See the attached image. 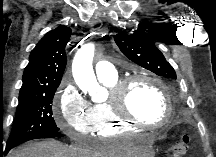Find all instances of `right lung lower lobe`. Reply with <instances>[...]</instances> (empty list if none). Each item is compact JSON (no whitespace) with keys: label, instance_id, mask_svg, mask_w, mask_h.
Masks as SVG:
<instances>
[{"label":"right lung lower lobe","instance_id":"right-lung-lower-lobe-1","mask_svg":"<svg viewBox=\"0 0 216 157\" xmlns=\"http://www.w3.org/2000/svg\"><path fill=\"white\" fill-rule=\"evenodd\" d=\"M58 136H62V134H60V133H54V134L44 135V136L39 137V138H53V137H58ZM12 148L13 147L6 146L5 154H7Z\"/></svg>","mask_w":216,"mask_h":157}]
</instances>
